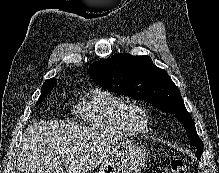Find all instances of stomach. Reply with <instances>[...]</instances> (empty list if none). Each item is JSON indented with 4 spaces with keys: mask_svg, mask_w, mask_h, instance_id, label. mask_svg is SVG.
I'll list each match as a JSON object with an SVG mask.
<instances>
[{
    "mask_svg": "<svg viewBox=\"0 0 219 173\" xmlns=\"http://www.w3.org/2000/svg\"><path fill=\"white\" fill-rule=\"evenodd\" d=\"M148 160L142 145L123 143L100 164L96 173H139Z\"/></svg>",
    "mask_w": 219,
    "mask_h": 173,
    "instance_id": "stomach-1",
    "label": "stomach"
}]
</instances>
